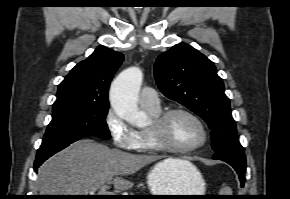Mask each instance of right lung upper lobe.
I'll list each match as a JSON object with an SVG mask.
<instances>
[{
    "mask_svg": "<svg viewBox=\"0 0 290 199\" xmlns=\"http://www.w3.org/2000/svg\"><path fill=\"white\" fill-rule=\"evenodd\" d=\"M123 58L120 52L98 47L60 83L53 108L69 104H109V85Z\"/></svg>",
    "mask_w": 290,
    "mask_h": 199,
    "instance_id": "obj_1",
    "label": "right lung upper lobe"
}]
</instances>
